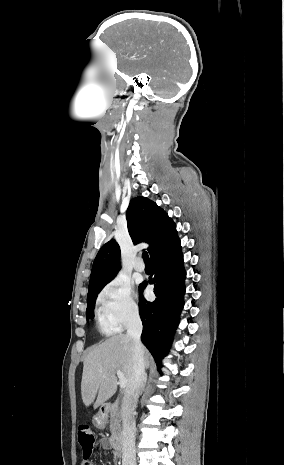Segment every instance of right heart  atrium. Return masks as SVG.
<instances>
[{
	"label": "right heart atrium",
	"instance_id": "obj_1",
	"mask_svg": "<svg viewBox=\"0 0 284 465\" xmlns=\"http://www.w3.org/2000/svg\"><path fill=\"white\" fill-rule=\"evenodd\" d=\"M97 305L119 330L140 318V308L131 288L120 280H113L103 287L98 294Z\"/></svg>",
	"mask_w": 284,
	"mask_h": 465
}]
</instances>
